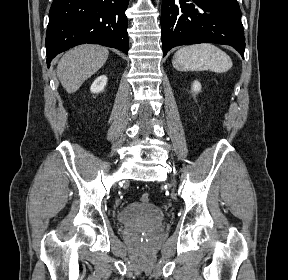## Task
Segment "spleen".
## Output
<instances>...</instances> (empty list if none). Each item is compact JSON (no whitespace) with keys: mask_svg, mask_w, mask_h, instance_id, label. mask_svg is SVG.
Masks as SVG:
<instances>
[{"mask_svg":"<svg viewBox=\"0 0 288 280\" xmlns=\"http://www.w3.org/2000/svg\"><path fill=\"white\" fill-rule=\"evenodd\" d=\"M172 65L179 71L211 70L223 73L232 67V60L224 51L212 44H197L180 48Z\"/></svg>","mask_w":288,"mask_h":280,"instance_id":"spleen-1","label":"spleen"}]
</instances>
